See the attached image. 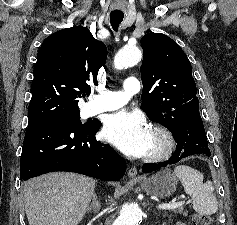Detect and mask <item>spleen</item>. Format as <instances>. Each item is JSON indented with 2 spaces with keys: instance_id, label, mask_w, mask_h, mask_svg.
<instances>
[{
  "instance_id": "obj_1",
  "label": "spleen",
  "mask_w": 237,
  "mask_h": 225,
  "mask_svg": "<svg viewBox=\"0 0 237 225\" xmlns=\"http://www.w3.org/2000/svg\"><path fill=\"white\" fill-rule=\"evenodd\" d=\"M174 174L181 181L186 194L193 200V209L201 215H212L218 210V202L213 193L212 182L203 183L204 177L198 170L178 165L174 168Z\"/></svg>"
}]
</instances>
